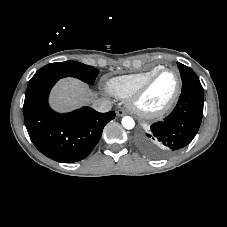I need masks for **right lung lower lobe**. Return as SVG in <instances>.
Listing matches in <instances>:
<instances>
[{"mask_svg": "<svg viewBox=\"0 0 227 227\" xmlns=\"http://www.w3.org/2000/svg\"><path fill=\"white\" fill-rule=\"evenodd\" d=\"M56 75L31 79L23 106L25 125L36 148L47 157L63 163L84 159L98 143L104 126L115 112L99 113L92 108L60 114L48 105Z\"/></svg>", "mask_w": 227, "mask_h": 227, "instance_id": "1", "label": "right lung lower lobe"}]
</instances>
